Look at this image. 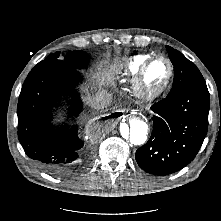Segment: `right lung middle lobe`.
Instances as JSON below:
<instances>
[{
  "instance_id": "right-lung-middle-lobe-1",
  "label": "right lung middle lobe",
  "mask_w": 221,
  "mask_h": 221,
  "mask_svg": "<svg viewBox=\"0 0 221 221\" xmlns=\"http://www.w3.org/2000/svg\"><path fill=\"white\" fill-rule=\"evenodd\" d=\"M45 60H61L73 67L74 69L84 68L89 62V56L86 52L80 50L69 51L64 59L61 58L60 52L57 51L48 57Z\"/></svg>"
}]
</instances>
